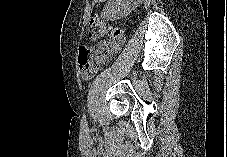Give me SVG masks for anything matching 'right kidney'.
<instances>
[{
	"mask_svg": "<svg viewBox=\"0 0 227 157\" xmlns=\"http://www.w3.org/2000/svg\"><path fill=\"white\" fill-rule=\"evenodd\" d=\"M129 11L128 1L113 0L104 7L102 15L110 20H116L125 16Z\"/></svg>",
	"mask_w": 227,
	"mask_h": 157,
	"instance_id": "ca27d5eb",
	"label": "right kidney"
}]
</instances>
